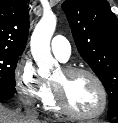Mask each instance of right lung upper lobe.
<instances>
[{"label": "right lung upper lobe", "instance_id": "right-lung-upper-lobe-1", "mask_svg": "<svg viewBox=\"0 0 118 123\" xmlns=\"http://www.w3.org/2000/svg\"><path fill=\"white\" fill-rule=\"evenodd\" d=\"M29 31L25 0H0V49L23 53Z\"/></svg>", "mask_w": 118, "mask_h": 123}]
</instances>
